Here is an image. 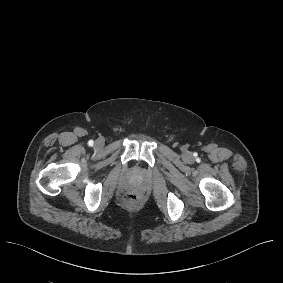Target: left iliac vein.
Returning <instances> with one entry per match:
<instances>
[{
  "mask_svg": "<svg viewBox=\"0 0 283 283\" xmlns=\"http://www.w3.org/2000/svg\"><path fill=\"white\" fill-rule=\"evenodd\" d=\"M183 157H184V159L186 161H190L191 160V155L189 153H185Z\"/></svg>",
  "mask_w": 283,
  "mask_h": 283,
  "instance_id": "obj_1",
  "label": "left iliac vein"
}]
</instances>
